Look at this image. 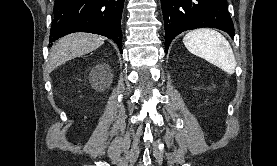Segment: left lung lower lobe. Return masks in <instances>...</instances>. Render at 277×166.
Wrapping results in <instances>:
<instances>
[{"instance_id":"1","label":"left lung lower lobe","mask_w":277,"mask_h":166,"mask_svg":"<svg viewBox=\"0 0 277 166\" xmlns=\"http://www.w3.org/2000/svg\"><path fill=\"white\" fill-rule=\"evenodd\" d=\"M165 23L166 52L181 32L212 27L234 37V27L226 0H161Z\"/></svg>"}]
</instances>
